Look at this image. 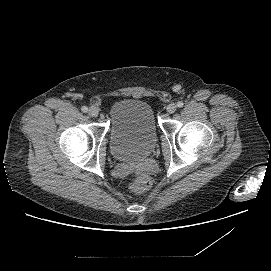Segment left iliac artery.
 <instances>
[{
  "instance_id": "1",
  "label": "left iliac artery",
  "mask_w": 271,
  "mask_h": 271,
  "mask_svg": "<svg viewBox=\"0 0 271 271\" xmlns=\"http://www.w3.org/2000/svg\"><path fill=\"white\" fill-rule=\"evenodd\" d=\"M183 105H184V103H183L182 101H178V102H177V106H178L179 108L183 107Z\"/></svg>"
}]
</instances>
